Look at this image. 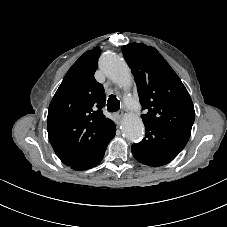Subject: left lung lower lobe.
Returning <instances> with one entry per match:
<instances>
[{"label": "left lung lower lobe", "mask_w": 227, "mask_h": 227, "mask_svg": "<svg viewBox=\"0 0 227 227\" xmlns=\"http://www.w3.org/2000/svg\"><path fill=\"white\" fill-rule=\"evenodd\" d=\"M186 139L152 125H145V137L131 147L140 163L162 166L171 162L187 144Z\"/></svg>", "instance_id": "obj_1"}]
</instances>
